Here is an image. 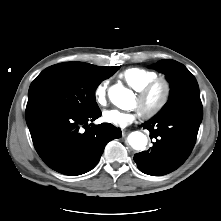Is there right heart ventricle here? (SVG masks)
<instances>
[{
    "mask_svg": "<svg viewBox=\"0 0 221 221\" xmlns=\"http://www.w3.org/2000/svg\"><path fill=\"white\" fill-rule=\"evenodd\" d=\"M157 77L155 71L138 67L129 68L120 74V78L135 91Z\"/></svg>",
    "mask_w": 221,
    "mask_h": 221,
    "instance_id": "e07e8e85",
    "label": "right heart ventricle"
}]
</instances>
